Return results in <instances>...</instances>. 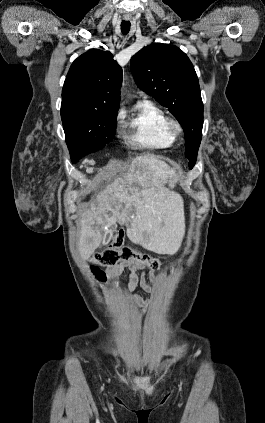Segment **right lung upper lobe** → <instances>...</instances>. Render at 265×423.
Here are the masks:
<instances>
[{"label":"right lung upper lobe","instance_id":"obj_1","mask_svg":"<svg viewBox=\"0 0 265 423\" xmlns=\"http://www.w3.org/2000/svg\"><path fill=\"white\" fill-rule=\"evenodd\" d=\"M122 69L108 51L90 49L71 65L62 90V104H80L118 112Z\"/></svg>","mask_w":265,"mask_h":423}]
</instances>
